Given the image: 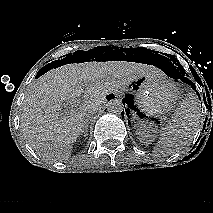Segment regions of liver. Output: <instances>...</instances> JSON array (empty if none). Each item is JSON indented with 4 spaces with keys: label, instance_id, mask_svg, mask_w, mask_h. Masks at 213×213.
I'll return each mask as SVG.
<instances>
[{
    "label": "liver",
    "instance_id": "obj_1",
    "mask_svg": "<svg viewBox=\"0 0 213 213\" xmlns=\"http://www.w3.org/2000/svg\"><path fill=\"white\" fill-rule=\"evenodd\" d=\"M158 72L153 66L128 61H90L53 68L40 76L26 94L20 117L21 132L42 159L66 161L84 129L87 110H100L107 94L124 89L139 77ZM83 93L90 99L62 112L64 101Z\"/></svg>",
    "mask_w": 213,
    "mask_h": 213
}]
</instances>
